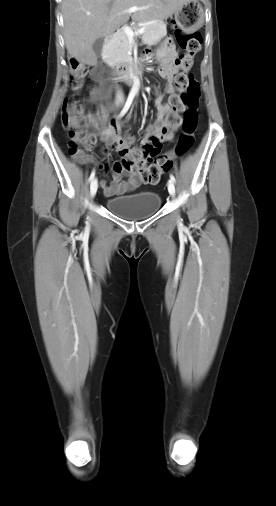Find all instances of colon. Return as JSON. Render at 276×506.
Returning a JSON list of instances; mask_svg holds the SVG:
<instances>
[{"label":"colon","instance_id":"5ec220e1","mask_svg":"<svg viewBox=\"0 0 276 506\" xmlns=\"http://www.w3.org/2000/svg\"><path fill=\"white\" fill-rule=\"evenodd\" d=\"M174 28L176 29L175 25ZM177 33L179 44L185 53L178 60L181 72L174 79L176 92L169 99L172 109L166 119L172 127L179 124L182 126L176 153L183 155L193 146L194 134L198 125L197 109L200 86L198 81L189 74V70L193 57L200 50L202 38L198 32L184 34L177 30ZM69 60L71 74L79 81L84 75L85 69L77 62L76 56H71ZM98 73L102 78L103 71L99 70ZM179 111L182 112L181 117L178 114ZM62 123L69 137L68 153L73 159L78 160L82 156L83 149L90 150L96 144V123L89 114L85 113L77 96H69L64 101ZM104 140L109 142L112 148L117 146L123 158L124 169L138 174L145 184H157L161 176L170 168L171 158L169 156L159 155L153 163L148 164L147 162L150 156L158 154L161 146L158 138H150L142 147H136L131 136L118 139L115 133L106 136Z\"/></svg>","mask_w":276,"mask_h":506}]
</instances>
